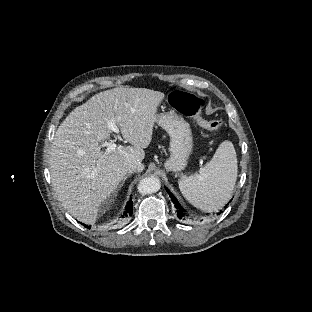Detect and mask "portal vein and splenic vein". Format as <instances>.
<instances>
[{
    "label": "portal vein and splenic vein",
    "instance_id": "portal-vein-and-splenic-vein-1",
    "mask_svg": "<svg viewBox=\"0 0 312 312\" xmlns=\"http://www.w3.org/2000/svg\"><path fill=\"white\" fill-rule=\"evenodd\" d=\"M107 126H108V129H110L111 131L115 133H119V128L116 125V120L114 117L110 118L107 121ZM102 147H107L108 151H114L116 149V144L112 142H104L102 144Z\"/></svg>",
    "mask_w": 312,
    "mask_h": 312
}]
</instances>
